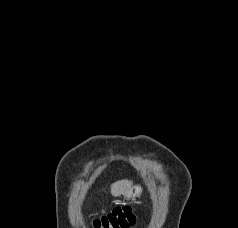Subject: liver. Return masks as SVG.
Returning a JSON list of instances; mask_svg holds the SVG:
<instances>
[{
  "label": "liver",
  "instance_id": "liver-1",
  "mask_svg": "<svg viewBox=\"0 0 238 228\" xmlns=\"http://www.w3.org/2000/svg\"><path fill=\"white\" fill-rule=\"evenodd\" d=\"M132 184L129 180H120L111 185V194L113 196L122 195Z\"/></svg>",
  "mask_w": 238,
  "mask_h": 228
}]
</instances>
